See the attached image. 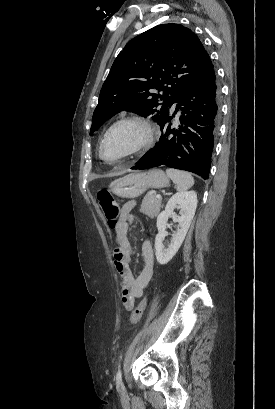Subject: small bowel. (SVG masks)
<instances>
[{"label": "small bowel", "instance_id": "c3829d8e", "mask_svg": "<svg viewBox=\"0 0 275 409\" xmlns=\"http://www.w3.org/2000/svg\"><path fill=\"white\" fill-rule=\"evenodd\" d=\"M134 202L125 204L122 208L121 219L116 226V240L118 247L111 257L115 268L121 276V301L126 309H131L137 299L142 297L153 275L154 255L152 245L144 241L141 247L144 258V267L135 274L131 268L133 259V247L129 239V230L132 223L131 210Z\"/></svg>", "mask_w": 275, "mask_h": 409}]
</instances>
